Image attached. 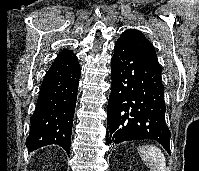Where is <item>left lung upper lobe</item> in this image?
Here are the masks:
<instances>
[{
  "label": "left lung upper lobe",
  "mask_w": 199,
  "mask_h": 171,
  "mask_svg": "<svg viewBox=\"0 0 199 171\" xmlns=\"http://www.w3.org/2000/svg\"><path fill=\"white\" fill-rule=\"evenodd\" d=\"M118 41H121L131 46L134 50L139 52L145 58L159 66L153 45L140 31L135 29H128L121 34Z\"/></svg>",
  "instance_id": "left-lung-upper-lobe-1"
}]
</instances>
